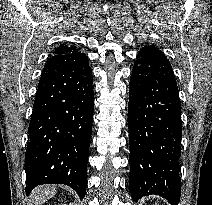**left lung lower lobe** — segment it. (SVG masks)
Here are the masks:
<instances>
[{"mask_svg":"<svg viewBox=\"0 0 212 205\" xmlns=\"http://www.w3.org/2000/svg\"><path fill=\"white\" fill-rule=\"evenodd\" d=\"M128 129L131 197L156 194L177 205L181 105L171 64L155 46L143 47L132 69Z\"/></svg>","mask_w":212,"mask_h":205,"instance_id":"1","label":"left lung lower lobe"}]
</instances>
